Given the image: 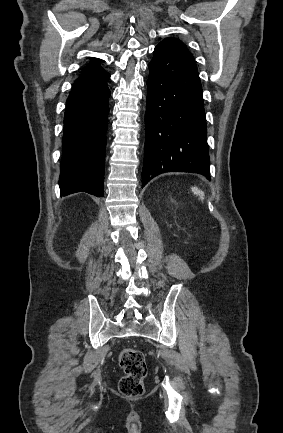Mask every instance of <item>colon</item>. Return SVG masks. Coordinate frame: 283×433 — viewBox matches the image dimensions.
Listing matches in <instances>:
<instances>
[{"mask_svg": "<svg viewBox=\"0 0 283 433\" xmlns=\"http://www.w3.org/2000/svg\"><path fill=\"white\" fill-rule=\"evenodd\" d=\"M123 376L118 383L120 393L126 397H139L144 392L143 381L147 375V364L143 352L124 348L119 356Z\"/></svg>", "mask_w": 283, "mask_h": 433, "instance_id": "colon-1", "label": "colon"}]
</instances>
